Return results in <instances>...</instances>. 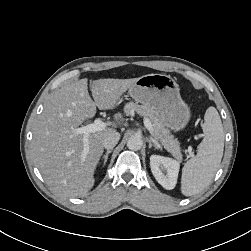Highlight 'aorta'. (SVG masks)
Returning <instances> with one entry per match:
<instances>
[{"instance_id":"762f6f07","label":"aorta","mask_w":251,"mask_h":251,"mask_svg":"<svg viewBox=\"0 0 251 251\" xmlns=\"http://www.w3.org/2000/svg\"><path fill=\"white\" fill-rule=\"evenodd\" d=\"M143 145L142 138L138 135H132L127 141V147L130 150H139Z\"/></svg>"}]
</instances>
